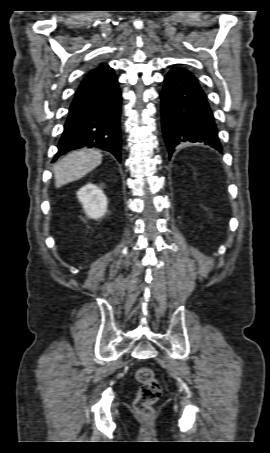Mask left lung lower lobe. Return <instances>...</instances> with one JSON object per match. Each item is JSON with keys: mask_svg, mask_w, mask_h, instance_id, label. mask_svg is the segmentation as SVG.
<instances>
[{"mask_svg": "<svg viewBox=\"0 0 270 453\" xmlns=\"http://www.w3.org/2000/svg\"><path fill=\"white\" fill-rule=\"evenodd\" d=\"M162 129L171 158L182 143H204L221 151L218 129L207 96L188 70L172 69L161 93Z\"/></svg>", "mask_w": 270, "mask_h": 453, "instance_id": "left-lung-lower-lobe-1", "label": "left lung lower lobe"}]
</instances>
